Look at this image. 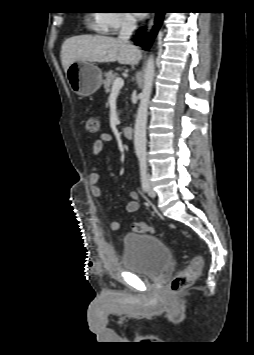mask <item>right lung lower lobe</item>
<instances>
[{
    "label": "right lung lower lobe",
    "instance_id": "1",
    "mask_svg": "<svg viewBox=\"0 0 254 355\" xmlns=\"http://www.w3.org/2000/svg\"><path fill=\"white\" fill-rule=\"evenodd\" d=\"M164 14L165 12H162V11H159V12H156V18H155V26L153 27V35L155 36L162 24V19L164 17ZM143 35H144V30L141 29L138 34L134 37V42L136 44H142L144 45V47H147L149 45H146L143 41H142V38H143ZM152 41H150V44H151Z\"/></svg>",
    "mask_w": 254,
    "mask_h": 355
}]
</instances>
